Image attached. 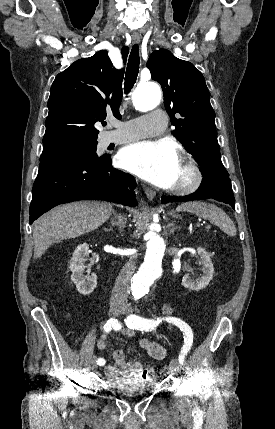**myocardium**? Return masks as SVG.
I'll return each mask as SVG.
<instances>
[{"instance_id":"obj_1","label":"myocardium","mask_w":275,"mask_h":429,"mask_svg":"<svg viewBox=\"0 0 275 429\" xmlns=\"http://www.w3.org/2000/svg\"><path fill=\"white\" fill-rule=\"evenodd\" d=\"M180 164L186 175L181 182L172 186L171 191L176 195L190 194L200 187L203 174L196 161L186 155L180 157Z\"/></svg>"}]
</instances>
